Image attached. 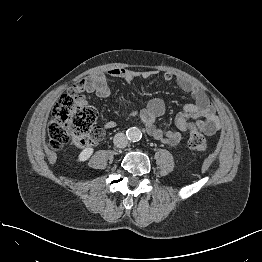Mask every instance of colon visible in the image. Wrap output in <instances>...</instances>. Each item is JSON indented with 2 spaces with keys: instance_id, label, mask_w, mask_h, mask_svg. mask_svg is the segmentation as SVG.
<instances>
[{
  "instance_id": "5ec220e1",
  "label": "colon",
  "mask_w": 262,
  "mask_h": 262,
  "mask_svg": "<svg viewBox=\"0 0 262 262\" xmlns=\"http://www.w3.org/2000/svg\"><path fill=\"white\" fill-rule=\"evenodd\" d=\"M72 88L60 97L46 126L47 143L53 150H59L70 142L76 147L89 146L100 131L94 129L97 111L84 102ZM190 137L188 145L199 152H207L210 148L205 136L189 125Z\"/></svg>"
}]
</instances>
